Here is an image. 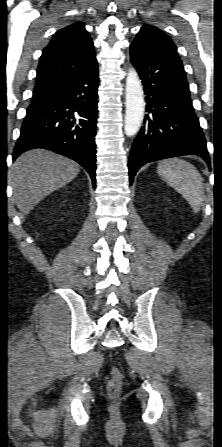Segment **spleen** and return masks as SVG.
I'll list each match as a JSON object with an SVG mask.
<instances>
[{"label": "spleen", "instance_id": "spleen-1", "mask_svg": "<svg viewBox=\"0 0 222 447\" xmlns=\"http://www.w3.org/2000/svg\"><path fill=\"white\" fill-rule=\"evenodd\" d=\"M157 172L183 196L195 213L200 211L204 198L203 178L193 165L174 157L161 161Z\"/></svg>", "mask_w": 222, "mask_h": 447}]
</instances>
